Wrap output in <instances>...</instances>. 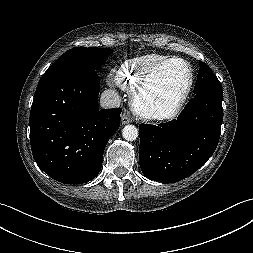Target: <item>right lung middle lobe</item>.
Instances as JSON below:
<instances>
[{
	"instance_id": "right-lung-middle-lobe-1",
	"label": "right lung middle lobe",
	"mask_w": 253,
	"mask_h": 253,
	"mask_svg": "<svg viewBox=\"0 0 253 253\" xmlns=\"http://www.w3.org/2000/svg\"><path fill=\"white\" fill-rule=\"evenodd\" d=\"M112 51V49L107 48L76 47L70 49L48 68L40 80L66 72L85 71L96 73L95 69L104 63Z\"/></svg>"
}]
</instances>
